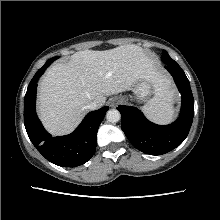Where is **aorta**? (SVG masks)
<instances>
[{"label": "aorta", "mask_w": 220, "mask_h": 220, "mask_svg": "<svg viewBox=\"0 0 220 220\" xmlns=\"http://www.w3.org/2000/svg\"><path fill=\"white\" fill-rule=\"evenodd\" d=\"M120 118H121L120 112L116 109H110L106 113V119L111 123L118 122Z\"/></svg>", "instance_id": "1"}]
</instances>
